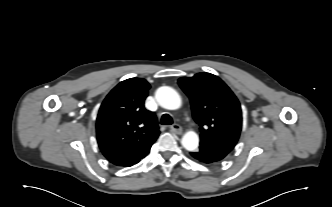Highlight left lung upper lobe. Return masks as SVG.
<instances>
[{
  "mask_svg": "<svg viewBox=\"0 0 332 207\" xmlns=\"http://www.w3.org/2000/svg\"><path fill=\"white\" fill-rule=\"evenodd\" d=\"M178 84L190 98L193 118L200 126V146L228 154L236 145L242 126L236 96L210 73L182 77Z\"/></svg>",
  "mask_w": 332,
  "mask_h": 207,
  "instance_id": "left-lung-upper-lobe-1",
  "label": "left lung upper lobe"
}]
</instances>
